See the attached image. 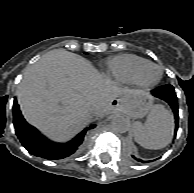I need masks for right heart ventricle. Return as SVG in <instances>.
<instances>
[{
  "label": "right heart ventricle",
  "instance_id": "1",
  "mask_svg": "<svg viewBox=\"0 0 194 193\" xmlns=\"http://www.w3.org/2000/svg\"><path fill=\"white\" fill-rule=\"evenodd\" d=\"M149 62L148 60L133 54H119L110 57L105 66V73L120 83H136L138 68Z\"/></svg>",
  "mask_w": 194,
  "mask_h": 193
}]
</instances>
